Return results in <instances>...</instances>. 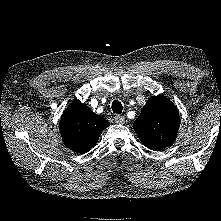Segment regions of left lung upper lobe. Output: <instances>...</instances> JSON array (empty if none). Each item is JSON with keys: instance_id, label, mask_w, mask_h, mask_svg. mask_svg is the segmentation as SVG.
I'll use <instances>...</instances> for the list:
<instances>
[{"instance_id": "left-lung-upper-lobe-1", "label": "left lung upper lobe", "mask_w": 221, "mask_h": 221, "mask_svg": "<svg viewBox=\"0 0 221 221\" xmlns=\"http://www.w3.org/2000/svg\"><path fill=\"white\" fill-rule=\"evenodd\" d=\"M179 126L178 109L163 95L151 97L133 124L141 142L155 151L175 141Z\"/></svg>"}]
</instances>
